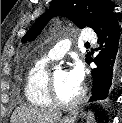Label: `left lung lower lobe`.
<instances>
[{
	"label": "left lung lower lobe",
	"instance_id": "obj_1",
	"mask_svg": "<svg viewBox=\"0 0 122 123\" xmlns=\"http://www.w3.org/2000/svg\"><path fill=\"white\" fill-rule=\"evenodd\" d=\"M97 35L100 52L95 58L90 55L86 60L97 65L92 70L93 86L89 102L111 100L122 71V38L115 14L111 15Z\"/></svg>",
	"mask_w": 122,
	"mask_h": 123
}]
</instances>
